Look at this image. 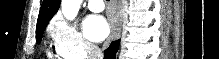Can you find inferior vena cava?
Here are the masks:
<instances>
[{
    "label": "inferior vena cava",
    "instance_id": "602c4592",
    "mask_svg": "<svg viewBox=\"0 0 219 59\" xmlns=\"http://www.w3.org/2000/svg\"><path fill=\"white\" fill-rule=\"evenodd\" d=\"M86 49L88 53V59H103L102 51L98 46L88 43Z\"/></svg>",
    "mask_w": 219,
    "mask_h": 59
}]
</instances>
